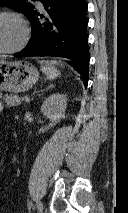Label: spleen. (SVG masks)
Wrapping results in <instances>:
<instances>
[{"label": "spleen", "instance_id": "spleen-1", "mask_svg": "<svg viewBox=\"0 0 128 213\" xmlns=\"http://www.w3.org/2000/svg\"><path fill=\"white\" fill-rule=\"evenodd\" d=\"M55 62H45L42 65L41 70L47 76L48 79L53 80L60 75V71L54 66Z\"/></svg>", "mask_w": 128, "mask_h": 213}]
</instances>
